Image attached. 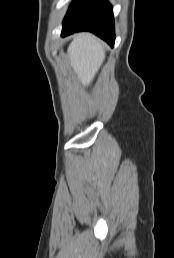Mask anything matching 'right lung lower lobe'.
<instances>
[{"label":"right lung lower lobe","instance_id":"right-lung-lower-lobe-1","mask_svg":"<svg viewBox=\"0 0 174 258\" xmlns=\"http://www.w3.org/2000/svg\"><path fill=\"white\" fill-rule=\"evenodd\" d=\"M90 31L114 46V18L108 0H75L63 21L62 35Z\"/></svg>","mask_w":174,"mask_h":258}]
</instances>
